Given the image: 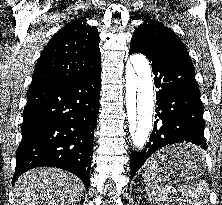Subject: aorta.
I'll return each mask as SVG.
<instances>
[{"label":"aorta","instance_id":"aorta-1","mask_svg":"<svg viewBox=\"0 0 222 205\" xmlns=\"http://www.w3.org/2000/svg\"><path fill=\"white\" fill-rule=\"evenodd\" d=\"M125 79L129 142L133 149L140 152L152 131L154 108L151 68L145 56L135 54L130 57Z\"/></svg>","mask_w":222,"mask_h":205}]
</instances>
